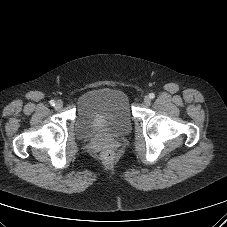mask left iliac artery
<instances>
[{
  "mask_svg": "<svg viewBox=\"0 0 227 227\" xmlns=\"http://www.w3.org/2000/svg\"><path fill=\"white\" fill-rule=\"evenodd\" d=\"M149 97H150L151 99H153V98H155V94H154V93H150V94H149Z\"/></svg>",
  "mask_w": 227,
  "mask_h": 227,
  "instance_id": "1",
  "label": "left iliac artery"
}]
</instances>
